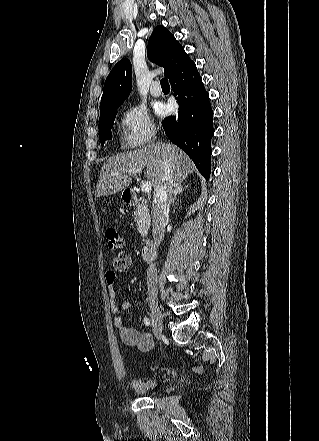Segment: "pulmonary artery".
Listing matches in <instances>:
<instances>
[{
    "mask_svg": "<svg viewBox=\"0 0 319 441\" xmlns=\"http://www.w3.org/2000/svg\"><path fill=\"white\" fill-rule=\"evenodd\" d=\"M150 93L151 95L158 97L162 94L161 88L157 85V83L152 84L150 87Z\"/></svg>",
    "mask_w": 319,
    "mask_h": 441,
    "instance_id": "obj_1",
    "label": "pulmonary artery"
}]
</instances>
